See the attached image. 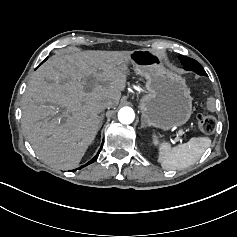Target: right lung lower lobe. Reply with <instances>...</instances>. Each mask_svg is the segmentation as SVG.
Masks as SVG:
<instances>
[{"label": "right lung lower lobe", "instance_id": "right-lung-lower-lobe-1", "mask_svg": "<svg viewBox=\"0 0 237 237\" xmlns=\"http://www.w3.org/2000/svg\"><path fill=\"white\" fill-rule=\"evenodd\" d=\"M100 150H101V148H100ZM100 150L98 151L97 155H96L91 161H89L86 165L93 163V162L98 158V155H99ZM86 165H84V166H86ZM84 166H81L79 169H81V168L84 167ZM76 170H77V169H76Z\"/></svg>", "mask_w": 237, "mask_h": 237}]
</instances>
